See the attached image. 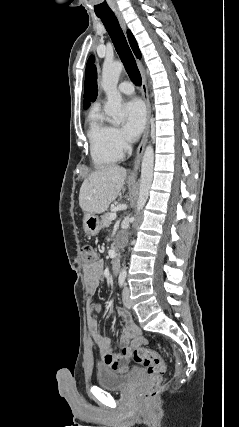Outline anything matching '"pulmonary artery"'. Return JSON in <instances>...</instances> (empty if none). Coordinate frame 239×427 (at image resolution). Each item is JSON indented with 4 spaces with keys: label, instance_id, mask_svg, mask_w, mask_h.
Here are the masks:
<instances>
[{
    "label": "pulmonary artery",
    "instance_id": "1",
    "mask_svg": "<svg viewBox=\"0 0 239 427\" xmlns=\"http://www.w3.org/2000/svg\"><path fill=\"white\" fill-rule=\"evenodd\" d=\"M118 90L120 93L125 95H131L134 92L133 85L130 82L124 81L119 84Z\"/></svg>",
    "mask_w": 239,
    "mask_h": 427
}]
</instances>
